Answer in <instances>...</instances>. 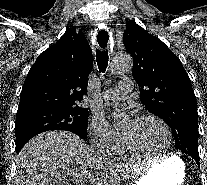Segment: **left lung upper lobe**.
<instances>
[{
    "label": "left lung upper lobe",
    "instance_id": "1",
    "mask_svg": "<svg viewBox=\"0 0 207 185\" xmlns=\"http://www.w3.org/2000/svg\"><path fill=\"white\" fill-rule=\"evenodd\" d=\"M123 43L133 58L142 104L169 125L177 149L198 154L197 102L180 59L135 22L126 24Z\"/></svg>",
    "mask_w": 207,
    "mask_h": 185
}]
</instances>
